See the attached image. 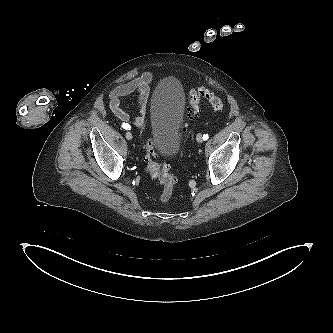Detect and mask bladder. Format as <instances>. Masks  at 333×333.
<instances>
[{
  "label": "bladder",
  "mask_w": 333,
  "mask_h": 333,
  "mask_svg": "<svg viewBox=\"0 0 333 333\" xmlns=\"http://www.w3.org/2000/svg\"><path fill=\"white\" fill-rule=\"evenodd\" d=\"M185 92L174 76L160 80L155 87L149 110V124L165 156H174L180 147L179 127L184 118Z\"/></svg>",
  "instance_id": "31cf9c89"
}]
</instances>
